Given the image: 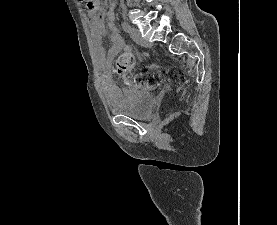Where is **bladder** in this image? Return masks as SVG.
Here are the masks:
<instances>
[{
    "label": "bladder",
    "instance_id": "31cf9c89",
    "mask_svg": "<svg viewBox=\"0 0 277 225\" xmlns=\"http://www.w3.org/2000/svg\"><path fill=\"white\" fill-rule=\"evenodd\" d=\"M154 107V98L148 91L128 89L121 92L111 107V112L126 115L133 119L148 118Z\"/></svg>",
    "mask_w": 277,
    "mask_h": 225
}]
</instances>
